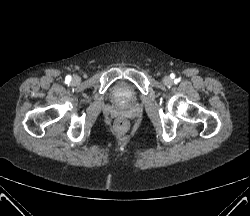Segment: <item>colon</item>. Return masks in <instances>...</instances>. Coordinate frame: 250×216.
I'll use <instances>...</instances> for the list:
<instances>
[{
  "instance_id": "5ec220e1",
  "label": "colon",
  "mask_w": 250,
  "mask_h": 216,
  "mask_svg": "<svg viewBox=\"0 0 250 216\" xmlns=\"http://www.w3.org/2000/svg\"><path fill=\"white\" fill-rule=\"evenodd\" d=\"M127 122L124 118L119 117L114 121V129L118 132V133H124L127 130Z\"/></svg>"
}]
</instances>
